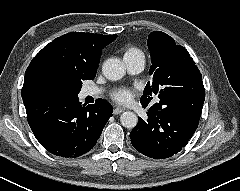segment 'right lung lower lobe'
<instances>
[{
    "label": "right lung lower lobe",
    "mask_w": 240,
    "mask_h": 191,
    "mask_svg": "<svg viewBox=\"0 0 240 191\" xmlns=\"http://www.w3.org/2000/svg\"><path fill=\"white\" fill-rule=\"evenodd\" d=\"M27 120L38 142L50 153L75 158L90 151L113 115L103 99L82 105L78 97L35 95L23 99Z\"/></svg>",
    "instance_id": "98d812e1"
}]
</instances>
